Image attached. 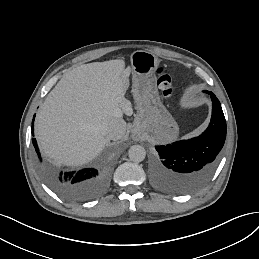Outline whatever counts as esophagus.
Wrapping results in <instances>:
<instances>
[{
  "label": "esophagus",
  "instance_id": "obj_1",
  "mask_svg": "<svg viewBox=\"0 0 259 259\" xmlns=\"http://www.w3.org/2000/svg\"><path fill=\"white\" fill-rule=\"evenodd\" d=\"M131 137L134 141H140L143 138L142 131L138 126L133 127Z\"/></svg>",
  "mask_w": 259,
  "mask_h": 259
}]
</instances>
